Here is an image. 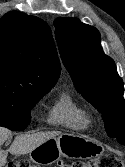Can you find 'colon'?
<instances>
[{"label": "colon", "mask_w": 125, "mask_h": 167, "mask_svg": "<svg viewBox=\"0 0 125 167\" xmlns=\"http://www.w3.org/2000/svg\"><path fill=\"white\" fill-rule=\"evenodd\" d=\"M58 167H124L121 159L114 154H103L89 161H75L57 164ZM4 167H35L28 160L20 159L7 163Z\"/></svg>", "instance_id": "obj_1"}]
</instances>
